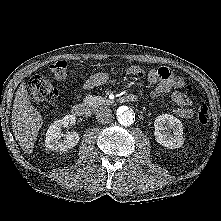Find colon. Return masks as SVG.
Returning <instances> with one entry per match:
<instances>
[{
    "mask_svg": "<svg viewBox=\"0 0 221 221\" xmlns=\"http://www.w3.org/2000/svg\"><path fill=\"white\" fill-rule=\"evenodd\" d=\"M53 76L58 80H63L67 76L68 63L64 60H59L50 66ZM141 76V75H139ZM30 97L36 103H48L57 97L56 88L43 75H35L29 82ZM186 91L192 92L193 86L187 84ZM211 115L206 105H201L197 111V121L201 125H207Z\"/></svg>",
    "mask_w": 221,
    "mask_h": 221,
    "instance_id": "obj_1",
    "label": "colon"
}]
</instances>
